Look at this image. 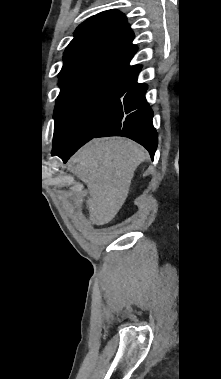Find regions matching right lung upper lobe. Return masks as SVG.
Instances as JSON below:
<instances>
[{
  "mask_svg": "<svg viewBox=\"0 0 221 379\" xmlns=\"http://www.w3.org/2000/svg\"><path fill=\"white\" fill-rule=\"evenodd\" d=\"M134 34L117 10L101 12L83 22L64 53L59 74L61 92L100 79L124 80L141 69L129 62L137 51Z\"/></svg>",
  "mask_w": 221,
  "mask_h": 379,
  "instance_id": "1",
  "label": "right lung upper lobe"
}]
</instances>
